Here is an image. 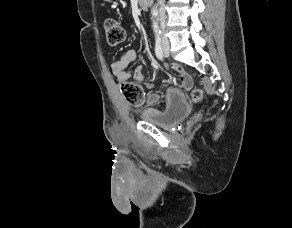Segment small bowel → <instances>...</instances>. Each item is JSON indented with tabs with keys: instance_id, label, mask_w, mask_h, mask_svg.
I'll use <instances>...</instances> for the list:
<instances>
[{
	"instance_id": "small-bowel-1",
	"label": "small bowel",
	"mask_w": 292,
	"mask_h": 228,
	"mask_svg": "<svg viewBox=\"0 0 292 228\" xmlns=\"http://www.w3.org/2000/svg\"><path fill=\"white\" fill-rule=\"evenodd\" d=\"M138 51L135 49L127 50L119 60L111 64V71L119 81L127 80L133 77L138 81L144 80V72L142 66H138L134 71L127 70L128 66L138 59ZM172 71L179 77L181 85L184 90H190L193 86L191 76L178 64L171 65ZM161 97L160 89L149 93L145 102L148 106H155ZM184 101L183 93L175 87H168L165 93V107H169ZM137 112L142 115L159 114L161 110L159 107L139 108Z\"/></svg>"
}]
</instances>
